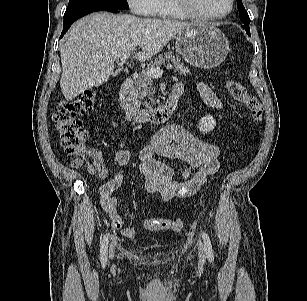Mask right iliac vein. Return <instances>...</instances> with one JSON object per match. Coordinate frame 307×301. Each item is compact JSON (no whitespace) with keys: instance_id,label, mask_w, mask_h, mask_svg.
<instances>
[{"instance_id":"obj_1","label":"right iliac vein","mask_w":307,"mask_h":301,"mask_svg":"<svg viewBox=\"0 0 307 301\" xmlns=\"http://www.w3.org/2000/svg\"><path fill=\"white\" fill-rule=\"evenodd\" d=\"M113 256H114V247L111 245L109 248V257L113 258Z\"/></svg>"}]
</instances>
